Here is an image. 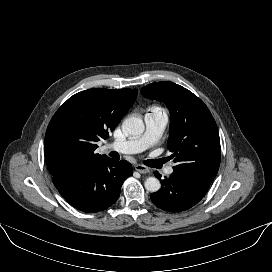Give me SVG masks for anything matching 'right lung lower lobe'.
Listing matches in <instances>:
<instances>
[{
    "label": "right lung lower lobe",
    "mask_w": 272,
    "mask_h": 272,
    "mask_svg": "<svg viewBox=\"0 0 272 272\" xmlns=\"http://www.w3.org/2000/svg\"><path fill=\"white\" fill-rule=\"evenodd\" d=\"M132 170L125 160L118 162L107 157L88 167L53 176V183L73 207L92 213L106 210L116 202Z\"/></svg>",
    "instance_id": "98d812e1"
}]
</instances>
